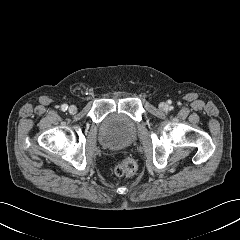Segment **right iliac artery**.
Segmentation results:
<instances>
[{
  "instance_id": "1",
  "label": "right iliac artery",
  "mask_w": 240,
  "mask_h": 240,
  "mask_svg": "<svg viewBox=\"0 0 240 240\" xmlns=\"http://www.w3.org/2000/svg\"><path fill=\"white\" fill-rule=\"evenodd\" d=\"M67 108H68V106H67L66 104H63V105L61 106V110H62V111H66Z\"/></svg>"
}]
</instances>
